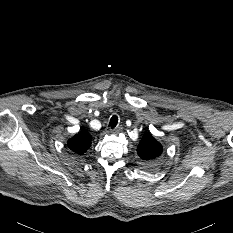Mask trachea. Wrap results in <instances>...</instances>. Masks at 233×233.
Listing matches in <instances>:
<instances>
[{
  "instance_id": "obj_1",
  "label": "trachea",
  "mask_w": 233,
  "mask_h": 233,
  "mask_svg": "<svg viewBox=\"0 0 233 233\" xmlns=\"http://www.w3.org/2000/svg\"><path fill=\"white\" fill-rule=\"evenodd\" d=\"M117 124H118V117L117 115H113L110 119L109 126L113 129L116 127Z\"/></svg>"
}]
</instances>
